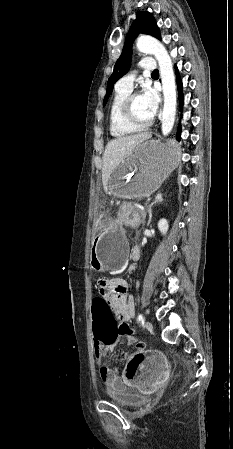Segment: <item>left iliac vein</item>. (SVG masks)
I'll list each match as a JSON object with an SVG mask.
<instances>
[{
    "label": "left iliac vein",
    "mask_w": 233,
    "mask_h": 449,
    "mask_svg": "<svg viewBox=\"0 0 233 449\" xmlns=\"http://www.w3.org/2000/svg\"><path fill=\"white\" fill-rule=\"evenodd\" d=\"M145 327L147 330H152V323L150 321L145 322Z\"/></svg>",
    "instance_id": "obj_1"
}]
</instances>
